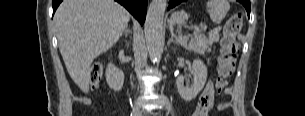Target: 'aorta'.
I'll use <instances>...</instances> for the list:
<instances>
[{"mask_svg": "<svg viewBox=\"0 0 305 116\" xmlns=\"http://www.w3.org/2000/svg\"><path fill=\"white\" fill-rule=\"evenodd\" d=\"M166 5V0H152L147 11L144 35L150 59L153 61L160 53Z\"/></svg>", "mask_w": 305, "mask_h": 116, "instance_id": "aorta-1", "label": "aorta"}]
</instances>
